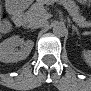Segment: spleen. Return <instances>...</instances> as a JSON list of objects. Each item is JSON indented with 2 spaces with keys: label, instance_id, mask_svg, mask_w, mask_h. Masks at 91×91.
<instances>
[{
  "label": "spleen",
  "instance_id": "3e777b00",
  "mask_svg": "<svg viewBox=\"0 0 91 91\" xmlns=\"http://www.w3.org/2000/svg\"><path fill=\"white\" fill-rule=\"evenodd\" d=\"M83 57H84L85 61L87 63H89V61H90V51H84L83 52Z\"/></svg>",
  "mask_w": 91,
  "mask_h": 91
}]
</instances>
